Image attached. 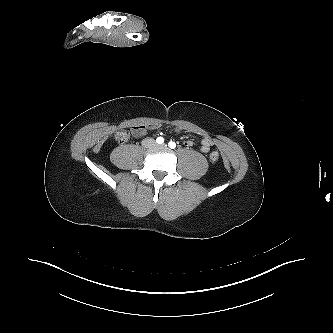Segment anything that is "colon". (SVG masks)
<instances>
[{
  "label": "colon",
  "instance_id": "obj_1",
  "mask_svg": "<svg viewBox=\"0 0 333 333\" xmlns=\"http://www.w3.org/2000/svg\"><path fill=\"white\" fill-rule=\"evenodd\" d=\"M129 133L125 130L119 131L115 134V139L119 143H124L128 140ZM219 159V153L215 150L211 151L209 154V160L213 163L217 162Z\"/></svg>",
  "mask_w": 333,
  "mask_h": 333
}]
</instances>
